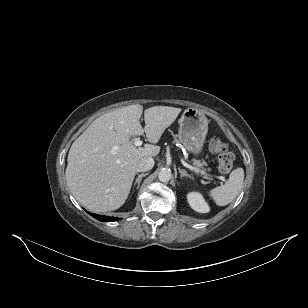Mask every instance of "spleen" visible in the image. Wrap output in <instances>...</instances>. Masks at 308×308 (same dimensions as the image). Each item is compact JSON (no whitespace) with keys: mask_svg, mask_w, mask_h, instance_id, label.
I'll use <instances>...</instances> for the list:
<instances>
[{"mask_svg":"<svg viewBox=\"0 0 308 308\" xmlns=\"http://www.w3.org/2000/svg\"><path fill=\"white\" fill-rule=\"evenodd\" d=\"M244 170L243 168L234 169L228 181L219 187L209 191V195L219 206H225L231 203L236 196L240 193L243 187Z\"/></svg>","mask_w":308,"mask_h":308,"instance_id":"3e777b00","label":"spleen"}]
</instances>
